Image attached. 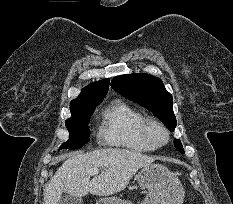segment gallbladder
<instances>
[{"mask_svg":"<svg viewBox=\"0 0 233 204\" xmlns=\"http://www.w3.org/2000/svg\"><path fill=\"white\" fill-rule=\"evenodd\" d=\"M59 204H82V199L72 195H65L60 199Z\"/></svg>","mask_w":233,"mask_h":204,"instance_id":"obj_1","label":"gallbladder"}]
</instances>
